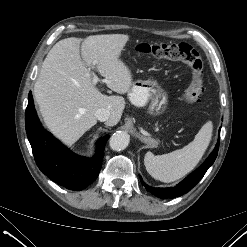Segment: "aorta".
<instances>
[{
    "label": "aorta",
    "instance_id": "762f6f07",
    "mask_svg": "<svg viewBox=\"0 0 247 247\" xmlns=\"http://www.w3.org/2000/svg\"><path fill=\"white\" fill-rule=\"evenodd\" d=\"M130 138L126 132L117 131L109 140L110 148L114 151L124 150L129 144Z\"/></svg>",
    "mask_w": 247,
    "mask_h": 247
}]
</instances>
